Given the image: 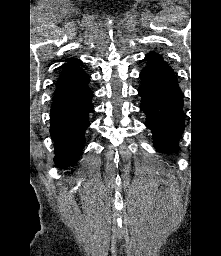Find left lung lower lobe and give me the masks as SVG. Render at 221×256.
<instances>
[{
  "label": "left lung lower lobe",
  "mask_w": 221,
  "mask_h": 256,
  "mask_svg": "<svg viewBox=\"0 0 221 256\" xmlns=\"http://www.w3.org/2000/svg\"><path fill=\"white\" fill-rule=\"evenodd\" d=\"M140 78V109L147 116L145 125L153 133L154 146L161 152L175 151L185 128L182 92L176 76L170 66L156 64L144 68Z\"/></svg>",
  "instance_id": "0a47b994"
}]
</instances>
